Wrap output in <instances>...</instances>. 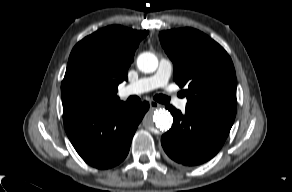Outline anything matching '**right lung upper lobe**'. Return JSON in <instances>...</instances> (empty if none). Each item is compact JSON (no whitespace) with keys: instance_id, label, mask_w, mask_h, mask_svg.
I'll use <instances>...</instances> for the list:
<instances>
[{"instance_id":"cb5924a9","label":"right lung upper lobe","mask_w":292,"mask_h":192,"mask_svg":"<svg viewBox=\"0 0 292 192\" xmlns=\"http://www.w3.org/2000/svg\"><path fill=\"white\" fill-rule=\"evenodd\" d=\"M148 31H137L120 25L102 28L85 37L73 48L62 81L63 111L72 109H107L123 103L116 95L118 84L127 80L130 64L139 42ZM83 76L98 87L95 99L85 107L73 105L67 88L73 78Z\"/></svg>"}]
</instances>
